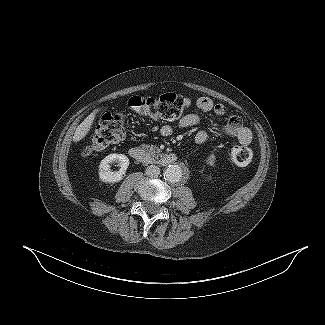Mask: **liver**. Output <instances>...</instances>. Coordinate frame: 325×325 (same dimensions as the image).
<instances>
[{
	"instance_id": "obj_1",
	"label": "liver",
	"mask_w": 325,
	"mask_h": 325,
	"mask_svg": "<svg viewBox=\"0 0 325 325\" xmlns=\"http://www.w3.org/2000/svg\"><path fill=\"white\" fill-rule=\"evenodd\" d=\"M99 110H94L90 115H88L84 121L76 128V131L73 136V141L74 142H79L82 140L90 131L92 124L94 122L96 113Z\"/></svg>"
}]
</instances>
